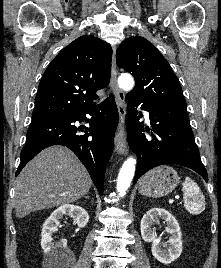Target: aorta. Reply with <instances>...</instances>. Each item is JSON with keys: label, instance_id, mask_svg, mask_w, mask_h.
I'll return each mask as SVG.
<instances>
[{"label": "aorta", "instance_id": "obj_1", "mask_svg": "<svg viewBox=\"0 0 221 268\" xmlns=\"http://www.w3.org/2000/svg\"><path fill=\"white\" fill-rule=\"evenodd\" d=\"M118 84L123 90L130 91L134 87L133 77L129 74H122L118 78ZM135 164V159L129 157L124 161L120 169L116 185L117 192L120 196L125 195L126 191L130 187L135 173Z\"/></svg>", "mask_w": 221, "mask_h": 268}]
</instances>
